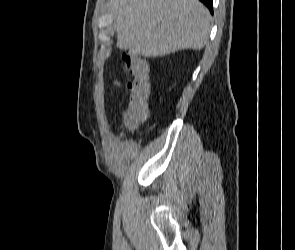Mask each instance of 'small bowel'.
Wrapping results in <instances>:
<instances>
[{"label": "small bowel", "instance_id": "small-bowel-1", "mask_svg": "<svg viewBox=\"0 0 295 250\" xmlns=\"http://www.w3.org/2000/svg\"><path fill=\"white\" fill-rule=\"evenodd\" d=\"M122 67L123 69L133 78L143 77L148 80L149 78V64L148 62L134 54L122 56ZM117 84H119L117 82Z\"/></svg>", "mask_w": 295, "mask_h": 250}]
</instances>
